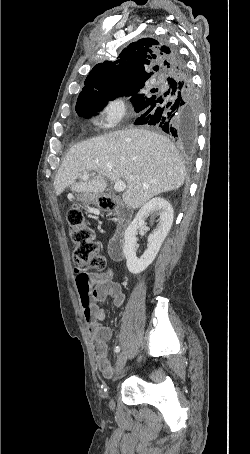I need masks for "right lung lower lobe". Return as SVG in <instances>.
Listing matches in <instances>:
<instances>
[{
  "mask_svg": "<svg viewBox=\"0 0 250 454\" xmlns=\"http://www.w3.org/2000/svg\"><path fill=\"white\" fill-rule=\"evenodd\" d=\"M167 47L171 67L163 81L168 90L156 95L137 111L135 124L155 126L191 145L195 142L198 126L195 91L181 55L176 49Z\"/></svg>",
  "mask_w": 250,
  "mask_h": 454,
  "instance_id": "98d812e1",
  "label": "right lung lower lobe"
}]
</instances>
